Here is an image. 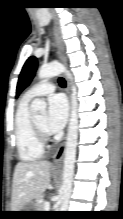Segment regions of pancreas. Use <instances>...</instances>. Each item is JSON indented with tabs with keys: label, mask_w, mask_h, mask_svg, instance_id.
Returning a JSON list of instances; mask_svg holds the SVG:
<instances>
[{
	"label": "pancreas",
	"mask_w": 123,
	"mask_h": 219,
	"mask_svg": "<svg viewBox=\"0 0 123 219\" xmlns=\"http://www.w3.org/2000/svg\"><path fill=\"white\" fill-rule=\"evenodd\" d=\"M35 206L37 208L36 209L37 211H45V209H44V202L42 201V197L41 196L36 199Z\"/></svg>",
	"instance_id": "pancreas-1"
}]
</instances>
